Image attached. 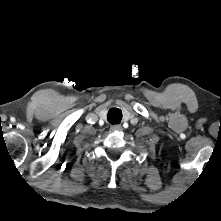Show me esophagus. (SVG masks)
Segmentation results:
<instances>
[{
    "instance_id": "obj_1",
    "label": "esophagus",
    "mask_w": 221,
    "mask_h": 221,
    "mask_svg": "<svg viewBox=\"0 0 221 221\" xmlns=\"http://www.w3.org/2000/svg\"><path fill=\"white\" fill-rule=\"evenodd\" d=\"M110 129H111V131H122L123 130L121 125H113V126H111Z\"/></svg>"
}]
</instances>
